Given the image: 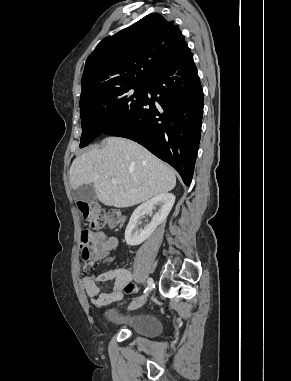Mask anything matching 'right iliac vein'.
<instances>
[{"label":"right iliac vein","instance_id":"right-iliac-vein-1","mask_svg":"<svg viewBox=\"0 0 291 381\" xmlns=\"http://www.w3.org/2000/svg\"><path fill=\"white\" fill-rule=\"evenodd\" d=\"M146 299H147V297H143V298H141L140 300H138V301L132 303V304L128 307V309H129V310H136V309L140 308V307L145 303Z\"/></svg>","mask_w":291,"mask_h":381}]
</instances>
